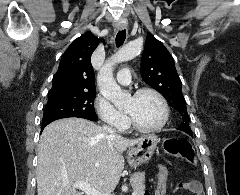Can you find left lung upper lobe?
<instances>
[{"instance_id":"obj_1","label":"left lung upper lobe","mask_w":240,"mask_h":195,"mask_svg":"<svg viewBox=\"0 0 240 195\" xmlns=\"http://www.w3.org/2000/svg\"><path fill=\"white\" fill-rule=\"evenodd\" d=\"M141 76L180 113L183 121L178 129L192 136L186 102L181 90V80L177 74L174 60L165 46L150 33L147 34L141 59Z\"/></svg>"}]
</instances>
